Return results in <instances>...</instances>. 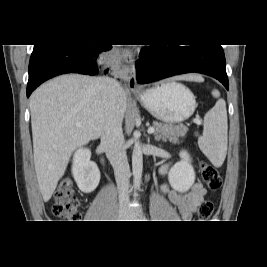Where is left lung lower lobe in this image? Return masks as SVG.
Instances as JSON below:
<instances>
[{"label": "left lung lower lobe", "instance_id": "1", "mask_svg": "<svg viewBox=\"0 0 267 267\" xmlns=\"http://www.w3.org/2000/svg\"><path fill=\"white\" fill-rule=\"evenodd\" d=\"M136 62L139 84L184 73H202L218 79L228 90L226 61L221 45H153Z\"/></svg>", "mask_w": 267, "mask_h": 267}]
</instances>
